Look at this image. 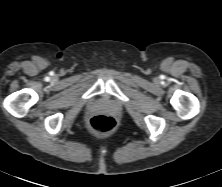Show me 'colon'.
Segmentation results:
<instances>
[{"mask_svg":"<svg viewBox=\"0 0 222 187\" xmlns=\"http://www.w3.org/2000/svg\"><path fill=\"white\" fill-rule=\"evenodd\" d=\"M89 127L96 133L107 134L115 129L116 121L108 115H96L90 119Z\"/></svg>","mask_w":222,"mask_h":187,"instance_id":"5ec220e1","label":"colon"}]
</instances>
